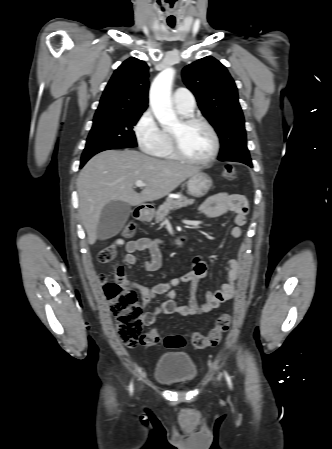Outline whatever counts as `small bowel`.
<instances>
[{
	"instance_id": "c3829d8e",
	"label": "small bowel",
	"mask_w": 332,
	"mask_h": 449,
	"mask_svg": "<svg viewBox=\"0 0 332 449\" xmlns=\"http://www.w3.org/2000/svg\"><path fill=\"white\" fill-rule=\"evenodd\" d=\"M201 213L217 218L228 212L234 214V225L230 229V236L239 239L242 236V225L245 224L246 216L249 212L248 201L243 195L219 193L208 198L200 207ZM126 254L124 260L126 264L133 265L136 261L135 253L137 251L147 254L144 262V268L147 271H156L162 265V254L159 249V240L150 238H139L128 241L125 245ZM207 264L199 257L193 260L192 269L179 278H173L166 282H161L147 289L137 287L144 306L149 305L156 297L164 296L162 304L153 311L143 315V322L146 325L154 323L159 315L177 314L180 316H192L196 314L208 313L218 308L222 303L230 300L235 293V285L240 273V262L237 259H231L227 264V282L219 291L206 292L205 301L198 303L196 290L199 280L207 275ZM116 278L120 281H126L125 272L122 267L116 270ZM188 283L190 286V300L184 305L180 303L176 288Z\"/></svg>"
}]
</instances>
